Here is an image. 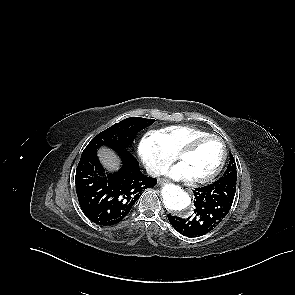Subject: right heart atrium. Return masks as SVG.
I'll return each instance as SVG.
<instances>
[{"instance_id":"1","label":"right heart atrium","mask_w":295,"mask_h":295,"mask_svg":"<svg viewBox=\"0 0 295 295\" xmlns=\"http://www.w3.org/2000/svg\"><path fill=\"white\" fill-rule=\"evenodd\" d=\"M138 154L146 170L152 176L160 175L174 160V154L164 147L155 131H150L142 137L138 145Z\"/></svg>"}]
</instances>
